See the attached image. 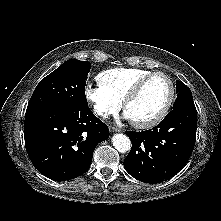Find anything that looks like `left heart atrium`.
Returning a JSON list of instances; mask_svg holds the SVG:
<instances>
[{
    "label": "left heart atrium",
    "mask_w": 221,
    "mask_h": 221,
    "mask_svg": "<svg viewBox=\"0 0 221 221\" xmlns=\"http://www.w3.org/2000/svg\"><path fill=\"white\" fill-rule=\"evenodd\" d=\"M124 117H125L126 119H130L127 113L124 114Z\"/></svg>",
    "instance_id": "obj_1"
}]
</instances>
